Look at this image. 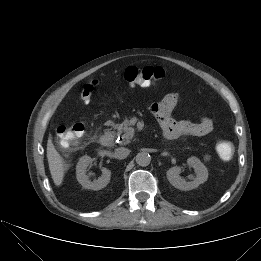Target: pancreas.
Segmentation results:
<instances>
[{
    "instance_id": "pancreas-1",
    "label": "pancreas",
    "mask_w": 261,
    "mask_h": 261,
    "mask_svg": "<svg viewBox=\"0 0 261 261\" xmlns=\"http://www.w3.org/2000/svg\"><path fill=\"white\" fill-rule=\"evenodd\" d=\"M114 129L117 130V135L121 136L123 144H127L134 136V129L131 127V123L128 119H125L121 124L114 126Z\"/></svg>"
}]
</instances>
